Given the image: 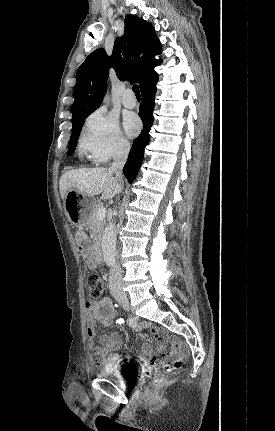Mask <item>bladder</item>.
Returning a JSON list of instances; mask_svg holds the SVG:
<instances>
[{
  "mask_svg": "<svg viewBox=\"0 0 275 431\" xmlns=\"http://www.w3.org/2000/svg\"><path fill=\"white\" fill-rule=\"evenodd\" d=\"M130 366L128 363H111L107 365H103L101 369L102 375H109L114 377L118 382L126 384L127 382V375Z\"/></svg>",
  "mask_w": 275,
  "mask_h": 431,
  "instance_id": "31cf9c89",
  "label": "bladder"
}]
</instances>
